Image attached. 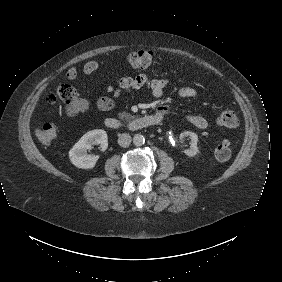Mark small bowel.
<instances>
[{
  "label": "small bowel",
  "instance_id": "obj_1",
  "mask_svg": "<svg viewBox=\"0 0 282 282\" xmlns=\"http://www.w3.org/2000/svg\"><path fill=\"white\" fill-rule=\"evenodd\" d=\"M99 67L100 64L98 61L90 60L85 63L82 71L85 75H91L95 73ZM78 74V69L76 67H71L67 71L66 76L69 80H75L78 77ZM168 85L169 81L167 79H152L145 74H140L134 77H121L118 78L113 85L108 86L107 91L110 96L101 97L93 101L78 99L67 108V113L69 116H75L92 108L101 111L111 110L115 106L116 101L140 88H147L153 97L162 99ZM178 96L183 99H196L199 94L198 91L192 87H182L178 91ZM154 114L161 115L164 118L166 109L163 106H159ZM183 118L186 122L198 129L204 130L209 126L208 120L201 115L186 113L183 115Z\"/></svg>",
  "mask_w": 282,
  "mask_h": 282
}]
</instances>
